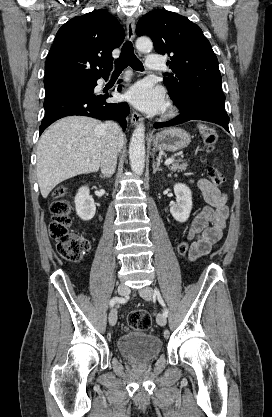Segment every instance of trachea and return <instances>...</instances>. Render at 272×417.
Masks as SVG:
<instances>
[{"mask_svg": "<svg viewBox=\"0 0 272 417\" xmlns=\"http://www.w3.org/2000/svg\"><path fill=\"white\" fill-rule=\"evenodd\" d=\"M128 65L134 70H143V65L134 54L133 45L130 41H126L123 44L121 49V56L115 62V70L113 71V75H119Z\"/></svg>", "mask_w": 272, "mask_h": 417, "instance_id": "1", "label": "trachea"}]
</instances>
